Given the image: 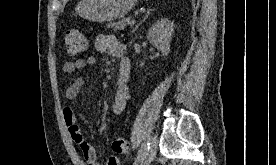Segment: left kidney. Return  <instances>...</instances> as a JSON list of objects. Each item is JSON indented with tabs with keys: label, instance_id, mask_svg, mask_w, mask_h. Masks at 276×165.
Returning <instances> with one entry per match:
<instances>
[{
	"label": "left kidney",
	"instance_id": "left-kidney-1",
	"mask_svg": "<svg viewBox=\"0 0 276 165\" xmlns=\"http://www.w3.org/2000/svg\"><path fill=\"white\" fill-rule=\"evenodd\" d=\"M174 31V23L167 18L158 20L148 32L149 42L167 56L170 52V42Z\"/></svg>",
	"mask_w": 276,
	"mask_h": 165
}]
</instances>
